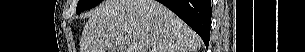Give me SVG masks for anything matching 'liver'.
<instances>
[{"label": "liver", "instance_id": "1", "mask_svg": "<svg viewBox=\"0 0 305 52\" xmlns=\"http://www.w3.org/2000/svg\"><path fill=\"white\" fill-rule=\"evenodd\" d=\"M200 47V37L155 0H105L90 13L80 40V52H196Z\"/></svg>", "mask_w": 305, "mask_h": 52}]
</instances>
